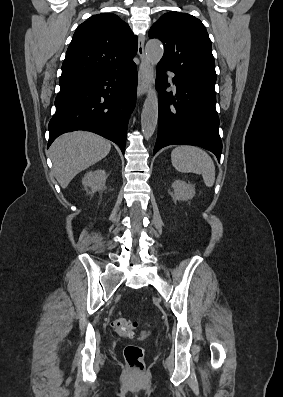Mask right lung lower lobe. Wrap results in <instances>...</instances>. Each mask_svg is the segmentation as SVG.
<instances>
[{"mask_svg":"<svg viewBox=\"0 0 283 397\" xmlns=\"http://www.w3.org/2000/svg\"><path fill=\"white\" fill-rule=\"evenodd\" d=\"M134 62L60 84L56 112L49 122V142L75 130L97 133L125 151L127 124L136 103Z\"/></svg>","mask_w":283,"mask_h":397,"instance_id":"98d812e1","label":"right lung lower lobe"}]
</instances>
